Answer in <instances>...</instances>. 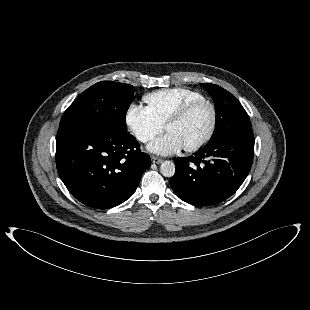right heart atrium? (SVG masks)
I'll return each mask as SVG.
<instances>
[{
	"label": "right heart atrium",
	"mask_w": 310,
	"mask_h": 310,
	"mask_svg": "<svg viewBox=\"0 0 310 310\" xmlns=\"http://www.w3.org/2000/svg\"><path fill=\"white\" fill-rule=\"evenodd\" d=\"M125 124L141 143H148L159 135L164 126L157 122L146 107L132 103L125 114Z\"/></svg>",
	"instance_id": "obj_1"
}]
</instances>
